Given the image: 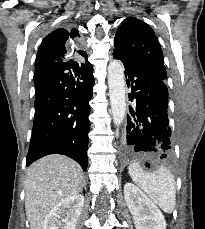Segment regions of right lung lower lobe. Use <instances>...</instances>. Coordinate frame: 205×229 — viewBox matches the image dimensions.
I'll list each match as a JSON object with an SVG mask.
<instances>
[{
  "mask_svg": "<svg viewBox=\"0 0 205 229\" xmlns=\"http://www.w3.org/2000/svg\"><path fill=\"white\" fill-rule=\"evenodd\" d=\"M65 63L46 65L34 73L35 117L26 166L53 153L77 161L85 171L90 130L89 101L93 95L91 65L74 70Z\"/></svg>",
  "mask_w": 205,
  "mask_h": 229,
  "instance_id": "obj_1",
  "label": "right lung lower lobe"
}]
</instances>
